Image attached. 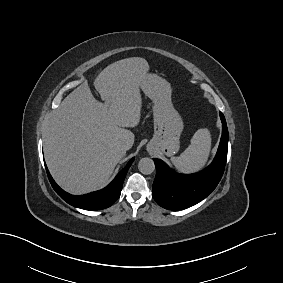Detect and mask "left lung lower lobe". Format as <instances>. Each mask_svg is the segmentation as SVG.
I'll return each mask as SVG.
<instances>
[{"mask_svg": "<svg viewBox=\"0 0 283 283\" xmlns=\"http://www.w3.org/2000/svg\"><path fill=\"white\" fill-rule=\"evenodd\" d=\"M222 136L213 162L203 171L195 174H177L162 160L155 159L156 177L152 196L163 208L181 210L197 204L216 188L224 172L227 149L228 129L224 115L220 112Z\"/></svg>", "mask_w": 283, "mask_h": 283, "instance_id": "obj_1", "label": "left lung lower lobe"}]
</instances>
